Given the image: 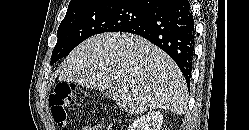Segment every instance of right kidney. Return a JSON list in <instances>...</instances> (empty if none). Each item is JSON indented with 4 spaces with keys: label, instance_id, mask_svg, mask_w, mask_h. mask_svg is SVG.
Masks as SVG:
<instances>
[{
    "label": "right kidney",
    "instance_id": "right-kidney-1",
    "mask_svg": "<svg viewBox=\"0 0 249 130\" xmlns=\"http://www.w3.org/2000/svg\"><path fill=\"white\" fill-rule=\"evenodd\" d=\"M163 122V115L160 111H153L137 118L129 130H160Z\"/></svg>",
    "mask_w": 249,
    "mask_h": 130
}]
</instances>
